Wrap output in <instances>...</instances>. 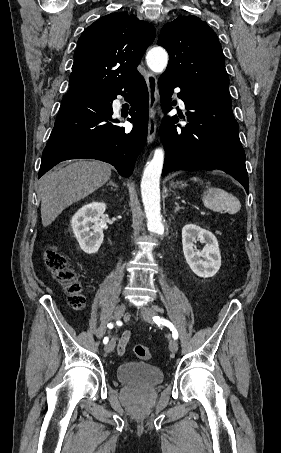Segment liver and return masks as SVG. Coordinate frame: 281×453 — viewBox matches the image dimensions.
I'll list each match as a JSON object with an SVG mask.
<instances>
[{"label":"liver","mask_w":281,"mask_h":453,"mask_svg":"<svg viewBox=\"0 0 281 453\" xmlns=\"http://www.w3.org/2000/svg\"><path fill=\"white\" fill-rule=\"evenodd\" d=\"M111 174V164L82 158L44 174L39 182L43 227H48L66 206L103 186Z\"/></svg>","instance_id":"obj_1"}]
</instances>
